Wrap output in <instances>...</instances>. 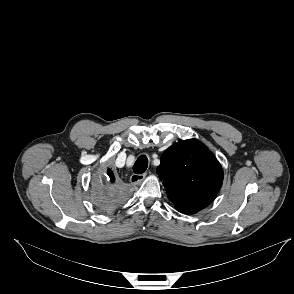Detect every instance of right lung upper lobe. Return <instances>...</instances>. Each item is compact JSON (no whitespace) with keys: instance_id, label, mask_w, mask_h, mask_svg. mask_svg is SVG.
<instances>
[{"instance_id":"1","label":"right lung upper lobe","mask_w":294,"mask_h":294,"mask_svg":"<svg viewBox=\"0 0 294 294\" xmlns=\"http://www.w3.org/2000/svg\"><path fill=\"white\" fill-rule=\"evenodd\" d=\"M107 175H108V177L106 178L108 181L110 180L111 182H114L115 181V177H114V174H113V172L111 171V169H108V171H107Z\"/></svg>"}]
</instances>
